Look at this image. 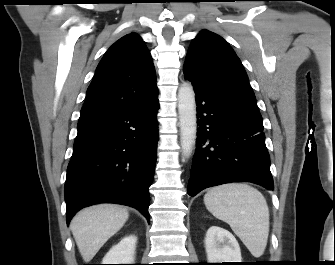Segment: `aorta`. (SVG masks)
<instances>
[{"label":"aorta","instance_id":"obj_1","mask_svg":"<svg viewBox=\"0 0 335 265\" xmlns=\"http://www.w3.org/2000/svg\"><path fill=\"white\" fill-rule=\"evenodd\" d=\"M178 114L180 124V143L185 158L192 153L196 143L197 118L193 87L183 83L178 90Z\"/></svg>","mask_w":335,"mask_h":265}]
</instances>
